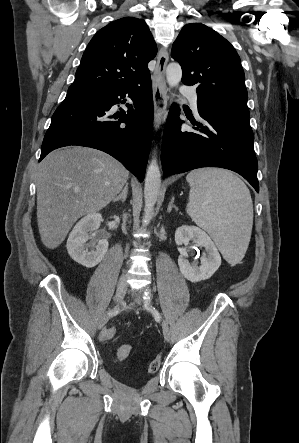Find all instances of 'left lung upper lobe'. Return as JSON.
<instances>
[{"label": "left lung upper lobe", "instance_id": "1", "mask_svg": "<svg viewBox=\"0 0 299 443\" xmlns=\"http://www.w3.org/2000/svg\"><path fill=\"white\" fill-rule=\"evenodd\" d=\"M171 56L182 67L183 84L198 86L197 105L202 110L249 118L240 57L224 37L204 24H187Z\"/></svg>", "mask_w": 299, "mask_h": 443}]
</instances>
